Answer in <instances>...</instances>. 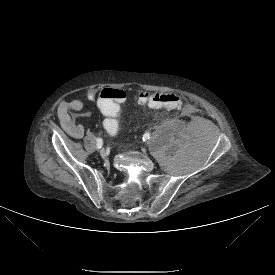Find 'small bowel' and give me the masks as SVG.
<instances>
[{"label":"small bowel","mask_w":275,"mask_h":275,"mask_svg":"<svg viewBox=\"0 0 275 275\" xmlns=\"http://www.w3.org/2000/svg\"><path fill=\"white\" fill-rule=\"evenodd\" d=\"M97 96L98 93L95 90H89L87 92V98L90 100H96ZM83 111V103L79 99H72L69 103H65L60 107L61 124L66 132L73 138H81L84 135L83 126L76 124L71 118L80 117Z\"/></svg>","instance_id":"1"}]
</instances>
